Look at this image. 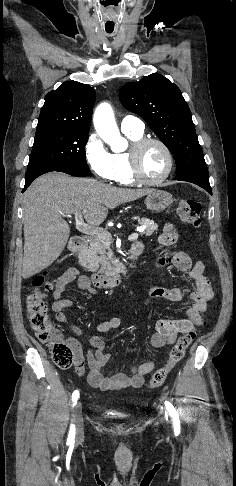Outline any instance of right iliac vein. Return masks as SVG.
<instances>
[{"label":"right iliac vein","mask_w":236,"mask_h":486,"mask_svg":"<svg viewBox=\"0 0 236 486\" xmlns=\"http://www.w3.org/2000/svg\"><path fill=\"white\" fill-rule=\"evenodd\" d=\"M74 421L76 425V436L77 438H81L84 433V424L82 417V405L80 402H78L75 407Z\"/></svg>","instance_id":"1"}]
</instances>
